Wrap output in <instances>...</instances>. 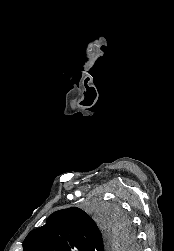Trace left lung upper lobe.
<instances>
[{"mask_svg": "<svg viewBox=\"0 0 174 251\" xmlns=\"http://www.w3.org/2000/svg\"><path fill=\"white\" fill-rule=\"evenodd\" d=\"M130 221L117 208H95L94 217L77 207L51 214L44 226L32 230L23 251H108L132 246Z\"/></svg>", "mask_w": 174, "mask_h": 251, "instance_id": "left-lung-upper-lobe-1", "label": "left lung upper lobe"}]
</instances>
